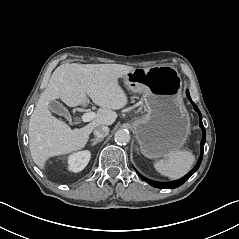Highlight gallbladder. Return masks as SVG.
<instances>
[{
    "instance_id": "obj_1",
    "label": "gallbladder",
    "mask_w": 239,
    "mask_h": 239,
    "mask_svg": "<svg viewBox=\"0 0 239 239\" xmlns=\"http://www.w3.org/2000/svg\"><path fill=\"white\" fill-rule=\"evenodd\" d=\"M48 107L52 112L60 116H64L66 120H71V115H69L67 108L64 107L60 102L54 100L50 101Z\"/></svg>"
}]
</instances>
